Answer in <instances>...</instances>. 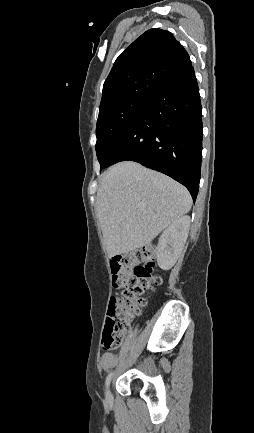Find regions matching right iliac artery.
<instances>
[{
  "mask_svg": "<svg viewBox=\"0 0 254 433\" xmlns=\"http://www.w3.org/2000/svg\"><path fill=\"white\" fill-rule=\"evenodd\" d=\"M112 377H113V372H110L108 374V376L106 377V386H108L110 384Z\"/></svg>",
  "mask_w": 254,
  "mask_h": 433,
  "instance_id": "1",
  "label": "right iliac artery"
}]
</instances>
